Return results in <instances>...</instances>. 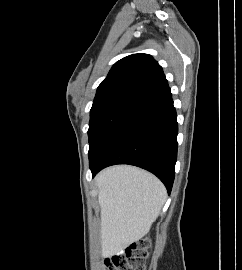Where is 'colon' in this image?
<instances>
[{"mask_svg": "<svg viewBox=\"0 0 242 270\" xmlns=\"http://www.w3.org/2000/svg\"><path fill=\"white\" fill-rule=\"evenodd\" d=\"M150 246L151 242L148 239L132 243L122 254L106 261V270H146Z\"/></svg>", "mask_w": 242, "mask_h": 270, "instance_id": "1", "label": "colon"}]
</instances>
